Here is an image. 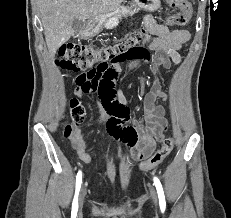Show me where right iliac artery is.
Here are the masks:
<instances>
[{
  "instance_id": "obj_1",
  "label": "right iliac artery",
  "mask_w": 231,
  "mask_h": 218,
  "mask_svg": "<svg viewBox=\"0 0 231 218\" xmlns=\"http://www.w3.org/2000/svg\"><path fill=\"white\" fill-rule=\"evenodd\" d=\"M81 183H82V173L81 171H79L76 176V191H75V197H74L73 204H72L73 214H76L78 210V193L81 187Z\"/></svg>"
}]
</instances>
